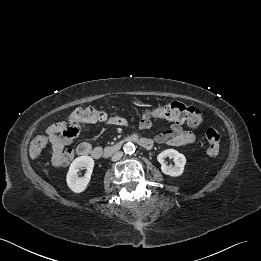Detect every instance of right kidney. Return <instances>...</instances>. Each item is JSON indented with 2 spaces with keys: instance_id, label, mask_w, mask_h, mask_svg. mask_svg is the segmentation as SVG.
Here are the masks:
<instances>
[{
  "instance_id": "right-kidney-1",
  "label": "right kidney",
  "mask_w": 261,
  "mask_h": 261,
  "mask_svg": "<svg viewBox=\"0 0 261 261\" xmlns=\"http://www.w3.org/2000/svg\"><path fill=\"white\" fill-rule=\"evenodd\" d=\"M85 167L87 170L83 177H78L80 168ZM94 167V160L90 156H80L76 158L70 165L66 181L68 187L75 193H81L87 189L91 174Z\"/></svg>"
}]
</instances>
